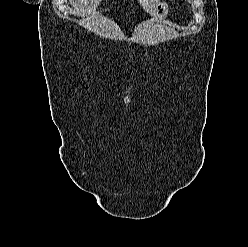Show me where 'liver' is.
I'll list each match as a JSON object with an SVG mask.
<instances>
[{"mask_svg": "<svg viewBox=\"0 0 248 247\" xmlns=\"http://www.w3.org/2000/svg\"><path fill=\"white\" fill-rule=\"evenodd\" d=\"M102 0H70L71 5L73 6L74 14L79 16H84L86 14H93L99 3ZM160 0H138L143 9L152 14V11L155 5Z\"/></svg>", "mask_w": 248, "mask_h": 247, "instance_id": "1", "label": "liver"}]
</instances>
